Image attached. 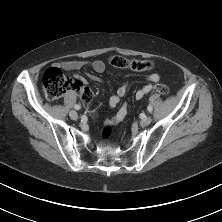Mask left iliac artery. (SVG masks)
Here are the masks:
<instances>
[{
  "label": "left iliac artery",
  "mask_w": 222,
  "mask_h": 222,
  "mask_svg": "<svg viewBox=\"0 0 222 222\" xmlns=\"http://www.w3.org/2000/svg\"><path fill=\"white\" fill-rule=\"evenodd\" d=\"M147 110H148L149 112H152V110H153L152 106L149 105V106L147 107Z\"/></svg>",
  "instance_id": "44dca946"
}]
</instances>
